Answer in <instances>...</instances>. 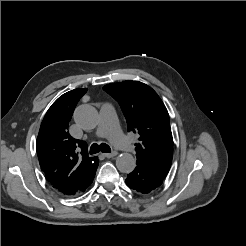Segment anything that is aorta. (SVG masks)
<instances>
[{"instance_id":"aorta-1","label":"aorta","mask_w":246,"mask_h":246,"mask_svg":"<svg viewBox=\"0 0 246 246\" xmlns=\"http://www.w3.org/2000/svg\"><path fill=\"white\" fill-rule=\"evenodd\" d=\"M75 122L84 130L94 129L99 120L97 110L91 105H82L74 112ZM116 166L120 172L130 173L136 166V160L130 153H122L116 158Z\"/></svg>"}]
</instances>
